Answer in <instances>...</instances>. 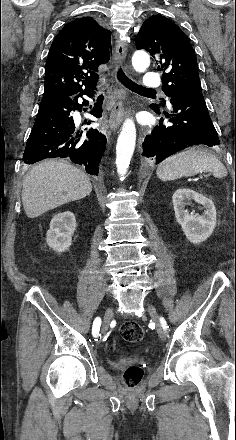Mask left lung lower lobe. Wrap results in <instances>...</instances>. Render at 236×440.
Returning a JSON list of instances; mask_svg holds the SVG:
<instances>
[{"instance_id":"obj_1","label":"left lung lower lobe","mask_w":236,"mask_h":440,"mask_svg":"<svg viewBox=\"0 0 236 440\" xmlns=\"http://www.w3.org/2000/svg\"><path fill=\"white\" fill-rule=\"evenodd\" d=\"M172 114L151 105L163 113L172 124H163L161 118L148 135L142 139V155L160 163L170 155L193 145H218L219 138L206 107L201 87H189L170 98Z\"/></svg>"}]
</instances>
